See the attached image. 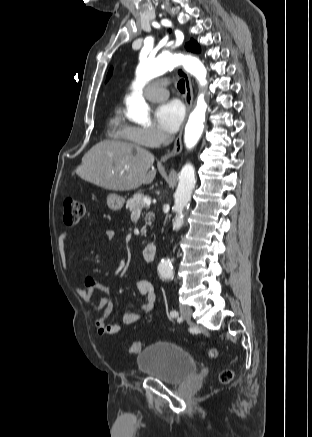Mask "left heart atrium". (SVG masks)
<instances>
[{
	"label": "left heart atrium",
	"instance_id": "left-heart-atrium-1",
	"mask_svg": "<svg viewBox=\"0 0 312 437\" xmlns=\"http://www.w3.org/2000/svg\"><path fill=\"white\" fill-rule=\"evenodd\" d=\"M159 127L166 133H175L184 117V109L178 101H168L161 104L155 112Z\"/></svg>",
	"mask_w": 312,
	"mask_h": 437
}]
</instances>
